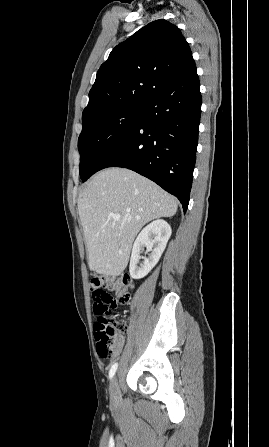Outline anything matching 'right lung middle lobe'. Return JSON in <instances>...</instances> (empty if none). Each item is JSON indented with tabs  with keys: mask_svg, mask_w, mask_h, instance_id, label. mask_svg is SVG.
Listing matches in <instances>:
<instances>
[{
	"mask_svg": "<svg viewBox=\"0 0 269 447\" xmlns=\"http://www.w3.org/2000/svg\"><path fill=\"white\" fill-rule=\"evenodd\" d=\"M144 108L143 103L124 106L83 123L78 139L82 180H87L99 158L138 124Z\"/></svg>",
	"mask_w": 269,
	"mask_h": 447,
	"instance_id": "1",
	"label": "right lung middle lobe"
}]
</instances>
